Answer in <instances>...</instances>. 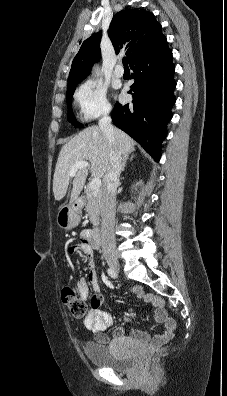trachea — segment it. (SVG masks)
<instances>
[{
	"label": "trachea",
	"instance_id": "1",
	"mask_svg": "<svg viewBox=\"0 0 227 396\" xmlns=\"http://www.w3.org/2000/svg\"><path fill=\"white\" fill-rule=\"evenodd\" d=\"M122 63L124 65V67H128V60L126 57L123 58Z\"/></svg>",
	"mask_w": 227,
	"mask_h": 396
}]
</instances>
